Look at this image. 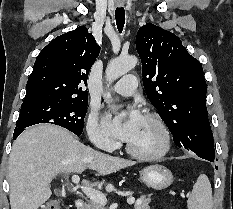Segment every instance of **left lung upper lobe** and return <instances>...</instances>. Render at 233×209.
Here are the masks:
<instances>
[{"label": "left lung upper lobe", "mask_w": 233, "mask_h": 209, "mask_svg": "<svg viewBox=\"0 0 233 209\" xmlns=\"http://www.w3.org/2000/svg\"><path fill=\"white\" fill-rule=\"evenodd\" d=\"M136 48L148 99L159 111L175 144L201 158L214 159L207 85L200 62L175 34L151 23L138 30Z\"/></svg>", "instance_id": "1"}]
</instances>
